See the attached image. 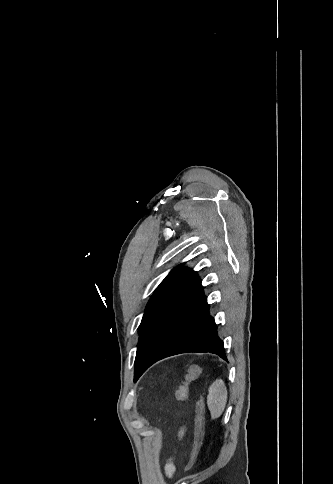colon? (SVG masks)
I'll return each mask as SVG.
<instances>
[{
  "label": "colon",
  "instance_id": "obj_1",
  "mask_svg": "<svg viewBox=\"0 0 333 484\" xmlns=\"http://www.w3.org/2000/svg\"><path fill=\"white\" fill-rule=\"evenodd\" d=\"M202 370H203L202 366L198 364H194L188 369L182 383L180 384V386L178 387L175 393V397L178 401L184 402L187 400L188 393H189V385L202 373ZM194 421H195V432H194L195 438H194V444L192 447V451L190 453L188 463L185 467L186 471L191 469L192 466L194 465L203 441V436H204V398L203 396H201L196 403Z\"/></svg>",
  "mask_w": 333,
  "mask_h": 484
}]
</instances>
